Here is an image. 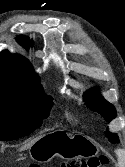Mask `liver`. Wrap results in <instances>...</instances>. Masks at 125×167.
I'll use <instances>...</instances> for the list:
<instances>
[{"instance_id": "1", "label": "liver", "mask_w": 125, "mask_h": 167, "mask_svg": "<svg viewBox=\"0 0 125 167\" xmlns=\"http://www.w3.org/2000/svg\"><path fill=\"white\" fill-rule=\"evenodd\" d=\"M41 138V136L40 137H37V138H35V139H33L32 141H30L29 143H27V144H25L24 146H22L21 148H20V150H25V149H28V148H30L37 140H39Z\"/></svg>"}]
</instances>
